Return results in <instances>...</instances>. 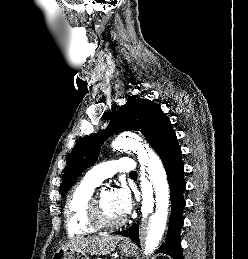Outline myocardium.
<instances>
[{"label": "myocardium", "mask_w": 248, "mask_h": 259, "mask_svg": "<svg viewBox=\"0 0 248 259\" xmlns=\"http://www.w3.org/2000/svg\"><path fill=\"white\" fill-rule=\"evenodd\" d=\"M101 191H95L90 199L88 216L91 224L97 229H113L122 226L126 221L124 216L117 221H108L105 219L100 203Z\"/></svg>", "instance_id": "obj_1"}]
</instances>
